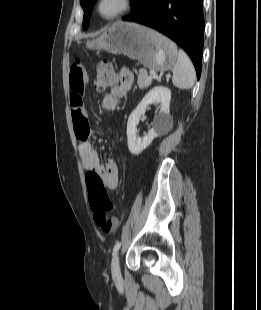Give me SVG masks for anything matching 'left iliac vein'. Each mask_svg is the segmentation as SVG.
<instances>
[{"label": "left iliac vein", "mask_w": 261, "mask_h": 310, "mask_svg": "<svg viewBox=\"0 0 261 310\" xmlns=\"http://www.w3.org/2000/svg\"><path fill=\"white\" fill-rule=\"evenodd\" d=\"M111 272H112V277L115 281H119L121 279V271H120L119 255L118 254H115L113 256Z\"/></svg>", "instance_id": "left-iliac-vein-1"}]
</instances>
